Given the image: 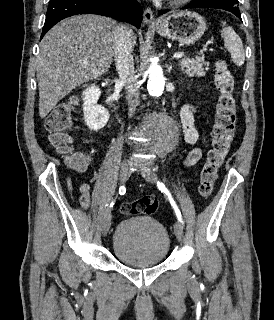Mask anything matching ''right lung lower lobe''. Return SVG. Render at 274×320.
<instances>
[{
    "mask_svg": "<svg viewBox=\"0 0 274 320\" xmlns=\"http://www.w3.org/2000/svg\"><path fill=\"white\" fill-rule=\"evenodd\" d=\"M143 9L136 0H50L41 38L56 23L77 14H98L140 28Z\"/></svg>",
    "mask_w": 274,
    "mask_h": 320,
    "instance_id": "98d812e1",
    "label": "right lung lower lobe"
}]
</instances>
